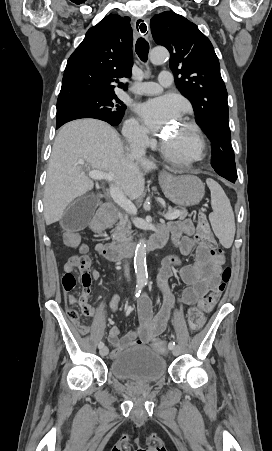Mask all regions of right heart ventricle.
Segmentation results:
<instances>
[{
  "mask_svg": "<svg viewBox=\"0 0 272 451\" xmlns=\"http://www.w3.org/2000/svg\"><path fill=\"white\" fill-rule=\"evenodd\" d=\"M171 100L174 102V99H173V98H171Z\"/></svg>",
  "mask_w": 272,
  "mask_h": 451,
  "instance_id": "obj_1",
  "label": "right heart ventricle"
}]
</instances>
